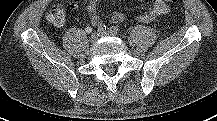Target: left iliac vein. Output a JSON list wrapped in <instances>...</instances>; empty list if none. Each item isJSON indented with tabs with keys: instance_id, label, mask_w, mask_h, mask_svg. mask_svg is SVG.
I'll return each instance as SVG.
<instances>
[{
	"instance_id": "1",
	"label": "left iliac vein",
	"mask_w": 217,
	"mask_h": 121,
	"mask_svg": "<svg viewBox=\"0 0 217 121\" xmlns=\"http://www.w3.org/2000/svg\"><path fill=\"white\" fill-rule=\"evenodd\" d=\"M102 36H115V34H113V33L110 32V31H106V32H103V33H102Z\"/></svg>"
}]
</instances>
